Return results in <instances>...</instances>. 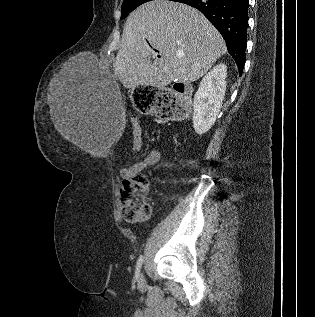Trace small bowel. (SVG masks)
<instances>
[{
	"label": "small bowel",
	"instance_id": "c3829d8e",
	"mask_svg": "<svg viewBox=\"0 0 315 317\" xmlns=\"http://www.w3.org/2000/svg\"><path fill=\"white\" fill-rule=\"evenodd\" d=\"M161 158H162V154L160 150L157 148H152L142 161H139V162L129 161L127 165L123 166L120 169V177L124 181L125 179H128L132 177L133 175L141 172L145 168L159 163Z\"/></svg>",
	"mask_w": 315,
	"mask_h": 317
}]
</instances>
